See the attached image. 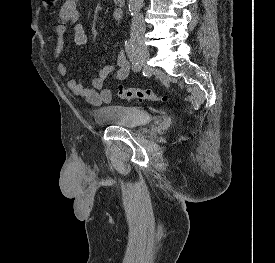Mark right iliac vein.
Wrapping results in <instances>:
<instances>
[{
  "label": "right iliac vein",
  "mask_w": 275,
  "mask_h": 263,
  "mask_svg": "<svg viewBox=\"0 0 275 263\" xmlns=\"http://www.w3.org/2000/svg\"><path fill=\"white\" fill-rule=\"evenodd\" d=\"M132 43L134 45V48H135V51H136L139 61L142 63L147 62L150 57V53H149V50H148L146 44L144 43L143 39L134 38L132 40Z\"/></svg>",
  "instance_id": "obj_1"
}]
</instances>
